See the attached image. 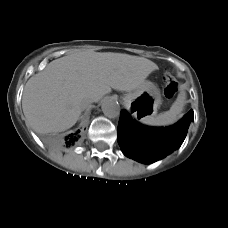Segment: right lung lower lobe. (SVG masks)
Instances as JSON below:
<instances>
[{"mask_svg": "<svg viewBox=\"0 0 228 228\" xmlns=\"http://www.w3.org/2000/svg\"><path fill=\"white\" fill-rule=\"evenodd\" d=\"M79 132L80 131H77L76 133L67 135L65 138L55 140V141H53V143L55 146H58V147L59 146H66V147L73 146L80 138Z\"/></svg>", "mask_w": 228, "mask_h": 228, "instance_id": "right-lung-lower-lobe-1", "label": "right lung lower lobe"}]
</instances>
